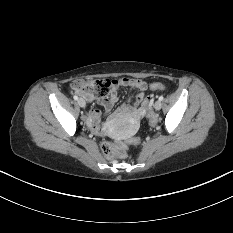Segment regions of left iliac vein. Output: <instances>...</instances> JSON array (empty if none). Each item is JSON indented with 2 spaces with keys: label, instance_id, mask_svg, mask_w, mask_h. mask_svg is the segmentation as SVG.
<instances>
[{
  "label": "left iliac vein",
  "instance_id": "4c4485c4",
  "mask_svg": "<svg viewBox=\"0 0 233 233\" xmlns=\"http://www.w3.org/2000/svg\"><path fill=\"white\" fill-rule=\"evenodd\" d=\"M161 107H162L161 101H160V100H157V101L155 102V105H154L155 110L158 111V110L161 109Z\"/></svg>",
  "mask_w": 233,
  "mask_h": 233
}]
</instances>
